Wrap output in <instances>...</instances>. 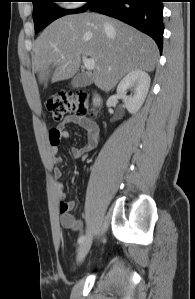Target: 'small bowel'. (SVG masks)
<instances>
[{
    "instance_id": "obj_1",
    "label": "small bowel",
    "mask_w": 195,
    "mask_h": 299,
    "mask_svg": "<svg viewBox=\"0 0 195 299\" xmlns=\"http://www.w3.org/2000/svg\"><path fill=\"white\" fill-rule=\"evenodd\" d=\"M69 124L80 126L86 133V143L82 147H73L71 149V155L76 159L82 158L97 147L100 139V131L98 126L89 119L71 115L68 116L57 128L52 129L49 134L50 149L53 163L55 164L53 170V176L56 179L54 189L56 197L59 200L60 224L65 229L78 231L82 227V221L72 214V211L75 208V202L65 200L63 186L60 182H58L63 175L62 170L59 167L61 160L58 157V148L62 140L70 137V133L67 129Z\"/></svg>"
}]
</instances>
